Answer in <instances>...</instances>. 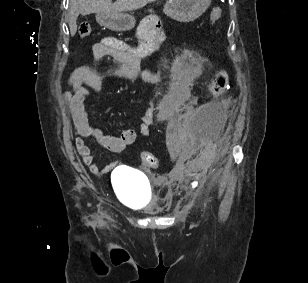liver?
Returning <instances> with one entry per match:
<instances>
[{
    "mask_svg": "<svg viewBox=\"0 0 308 283\" xmlns=\"http://www.w3.org/2000/svg\"><path fill=\"white\" fill-rule=\"evenodd\" d=\"M155 0H70L69 8V30L71 36L77 31L76 20L81 14L83 16L92 13H122L132 11L146 6Z\"/></svg>",
    "mask_w": 308,
    "mask_h": 283,
    "instance_id": "liver-1",
    "label": "liver"
}]
</instances>
